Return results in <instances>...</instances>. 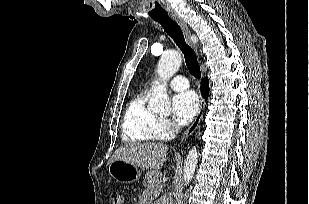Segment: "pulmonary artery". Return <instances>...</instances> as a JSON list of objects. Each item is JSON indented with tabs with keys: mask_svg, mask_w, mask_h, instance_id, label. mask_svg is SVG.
<instances>
[{
	"mask_svg": "<svg viewBox=\"0 0 309 204\" xmlns=\"http://www.w3.org/2000/svg\"><path fill=\"white\" fill-rule=\"evenodd\" d=\"M168 85L174 90H184L189 87V81L182 76H176L168 81Z\"/></svg>",
	"mask_w": 309,
	"mask_h": 204,
	"instance_id": "e3ab8cb5",
	"label": "pulmonary artery"
}]
</instances>
